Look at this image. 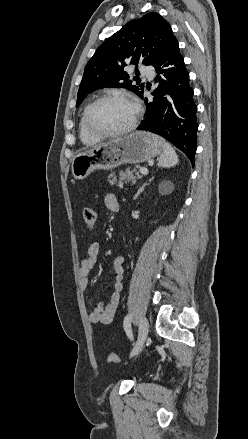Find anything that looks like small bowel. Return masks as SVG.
I'll return each instance as SVG.
<instances>
[{"label":"small bowel","instance_id":"c3829d8e","mask_svg":"<svg viewBox=\"0 0 248 439\" xmlns=\"http://www.w3.org/2000/svg\"><path fill=\"white\" fill-rule=\"evenodd\" d=\"M105 205L111 211L119 208L118 198L115 194H108L105 197ZM100 253L98 242H92L87 249L86 256L83 258L78 271L79 285L82 291H86L89 286V273L96 264ZM125 260L122 256L115 257L110 268L115 275L113 292L106 300L100 301L89 313V321L93 324H109L114 319L120 300V293L123 288Z\"/></svg>","mask_w":248,"mask_h":439}]
</instances>
